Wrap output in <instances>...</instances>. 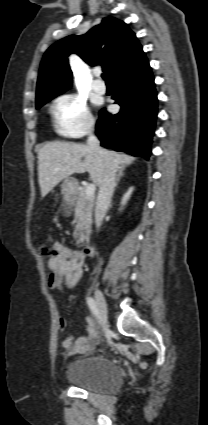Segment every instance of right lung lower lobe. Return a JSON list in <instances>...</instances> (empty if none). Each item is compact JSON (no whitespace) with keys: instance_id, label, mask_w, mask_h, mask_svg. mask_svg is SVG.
<instances>
[{"instance_id":"98d812e1","label":"right lung lower lobe","mask_w":208,"mask_h":425,"mask_svg":"<svg viewBox=\"0 0 208 425\" xmlns=\"http://www.w3.org/2000/svg\"><path fill=\"white\" fill-rule=\"evenodd\" d=\"M115 103L121 106L112 116L100 111L96 134L101 146L133 156L149 158L157 115L154 77L146 57L113 80Z\"/></svg>"}]
</instances>
